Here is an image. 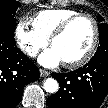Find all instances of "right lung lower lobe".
I'll use <instances>...</instances> for the list:
<instances>
[{
    "label": "right lung lower lobe",
    "mask_w": 108,
    "mask_h": 108,
    "mask_svg": "<svg viewBox=\"0 0 108 108\" xmlns=\"http://www.w3.org/2000/svg\"><path fill=\"white\" fill-rule=\"evenodd\" d=\"M37 66L16 47L14 36L0 31V108H14L26 84L38 80Z\"/></svg>",
    "instance_id": "1"
}]
</instances>
